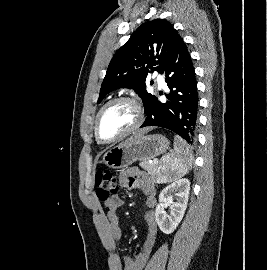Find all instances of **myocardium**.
Segmentation results:
<instances>
[{
	"label": "myocardium",
	"instance_id": "myocardium-1",
	"mask_svg": "<svg viewBox=\"0 0 267 270\" xmlns=\"http://www.w3.org/2000/svg\"><path fill=\"white\" fill-rule=\"evenodd\" d=\"M120 102H126V103H129L132 106H134V108L136 110V114H137L136 122L133 124V126L130 129H128L126 132L122 133L118 137L110 139V140L103 139L101 134H100V131H99L100 118H101L103 112L108 107H110L113 104L120 103ZM143 121H144V109H143L142 104L136 98L131 97V96L116 97L114 99H111L107 103H105L98 111L96 118H95V123H94V135H95L96 140L100 144H105V145L113 144V143H116V142L124 139L125 137L129 136L130 134L134 133L137 129H139V127L142 125Z\"/></svg>",
	"mask_w": 267,
	"mask_h": 270
}]
</instances>
